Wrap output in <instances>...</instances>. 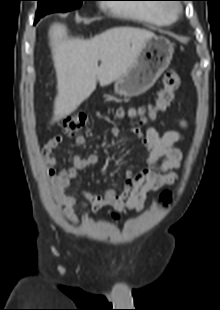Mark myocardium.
<instances>
[{"mask_svg": "<svg viewBox=\"0 0 220 310\" xmlns=\"http://www.w3.org/2000/svg\"><path fill=\"white\" fill-rule=\"evenodd\" d=\"M181 13V8L176 5H167L166 14L171 18H176Z\"/></svg>", "mask_w": 220, "mask_h": 310, "instance_id": "f54148a6", "label": "myocardium"}]
</instances>
